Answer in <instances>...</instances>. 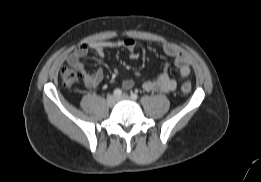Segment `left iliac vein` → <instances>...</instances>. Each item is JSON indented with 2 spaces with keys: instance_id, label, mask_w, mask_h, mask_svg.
Masks as SVG:
<instances>
[{
  "instance_id": "obj_1",
  "label": "left iliac vein",
  "mask_w": 261,
  "mask_h": 182,
  "mask_svg": "<svg viewBox=\"0 0 261 182\" xmlns=\"http://www.w3.org/2000/svg\"><path fill=\"white\" fill-rule=\"evenodd\" d=\"M117 100L118 101H120V100H131V98L128 95L124 94V95L118 97Z\"/></svg>"
}]
</instances>
